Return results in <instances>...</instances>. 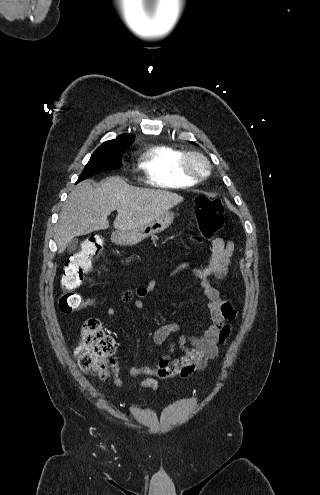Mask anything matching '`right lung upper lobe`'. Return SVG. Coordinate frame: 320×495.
<instances>
[{"label": "right lung upper lobe", "instance_id": "right-lung-upper-lobe-1", "mask_svg": "<svg viewBox=\"0 0 320 495\" xmlns=\"http://www.w3.org/2000/svg\"><path fill=\"white\" fill-rule=\"evenodd\" d=\"M134 141V135L124 134L116 139L104 142L99 148H128Z\"/></svg>", "mask_w": 320, "mask_h": 495}]
</instances>
